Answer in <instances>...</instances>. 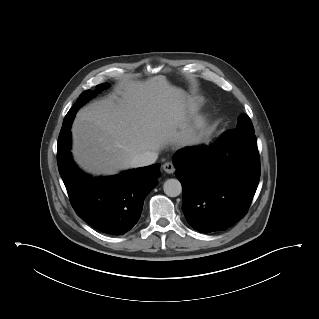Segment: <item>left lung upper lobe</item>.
<instances>
[{
    "label": "left lung upper lobe",
    "mask_w": 319,
    "mask_h": 319,
    "mask_svg": "<svg viewBox=\"0 0 319 319\" xmlns=\"http://www.w3.org/2000/svg\"><path fill=\"white\" fill-rule=\"evenodd\" d=\"M236 130L244 131L248 133H254L253 125L248 116L241 115L238 117V124Z\"/></svg>",
    "instance_id": "5c2ea615"
}]
</instances>
